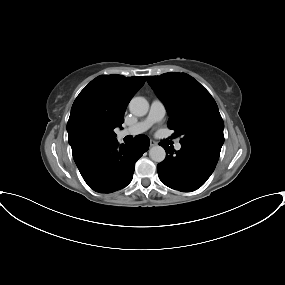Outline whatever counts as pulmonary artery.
I'll list each match as a JSON object with an SVG mask.
<instances>
[{
	"mask_svg": "<svg viewBox=\"0 0 285 285\" xmlns=\"http://www.w3.org/2000/svg\"><path fill=\"white\" fill-rule=\"evenodd\" d=\"M166 114V108L162 101L155 99L151 102L149 113L143 120L136 124L125 128L119 132V136H136L147 131L153 124L160 122ZM182 147L181 142L175 143V149L180 150Z\"/></svg>",
	"mask_w": 285,
	"mask_h": 285,
	"instance_id": "1",
	"label": "pulmonary artery"
}]
</instances>
